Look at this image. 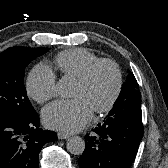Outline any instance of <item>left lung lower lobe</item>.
I'll list each match as a JSON object with an SVG mask.
<instances>
[{"instance_id": "1", "label": "left lung lower lobe", "mask_w": 168, "mask_h": 168, "mask_svg": "<svg viewBox=\"0 0 168 168\" xmlns=\"http://www.w3.org/2000/svg\"><path fill=\"white\" fill-rule=\"evenodd\" d=\"M94 132L85 137L79 168H130L144 133L141 110L109 113Z\"/></svg>"}]
</instances>
